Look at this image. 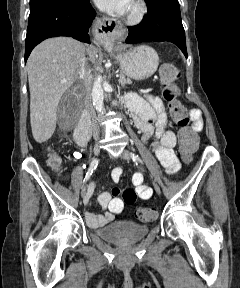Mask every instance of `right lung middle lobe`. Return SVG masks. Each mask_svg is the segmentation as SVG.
Instances as JSON below:
<instances>
[{"label":"right lung middle lobe","instance_id":"dd1d6c3e","mask_svg":"<svg viewBox=\"0 0 240 288\" xmlns=\"http://www.w3.org/2000/svg\"><path fill=\"white\" fill-rule=\"evenodd\" d=\"M54 1H59V0H30V13L36 11L41 6L50 2H54Z\"/></svg>","mask_w":240,"mask_h":288}]
</instances>
